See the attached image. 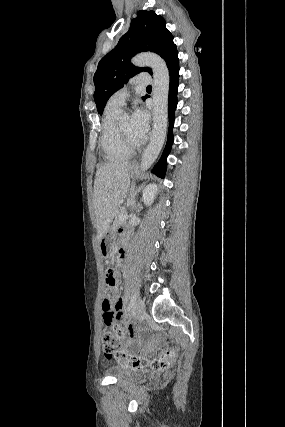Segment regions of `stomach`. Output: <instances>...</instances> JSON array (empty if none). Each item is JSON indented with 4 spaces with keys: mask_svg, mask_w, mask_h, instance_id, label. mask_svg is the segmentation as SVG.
I'll return each instance as SVG.
<instances>
[{
    "mask_svg": "<svg viewBox=\"0 0 285 427\" xmlns=\"http://www.w3.org/2000/svg\"><path fill=\"white\" fill-rule=\"evenodd\" d=\"M130 173L132 176L136 174V167L134 165L130 166ZM113 239H114V234L111 231H106V233L102 236L99 242V247H100L101 254L104 257L109 256L113 246Z\"/></svg>",
    "mask_w": 285,
    "mask_h": 427,
    "instance_id": "1",
    "label": "stomach"
}]
</instances>
